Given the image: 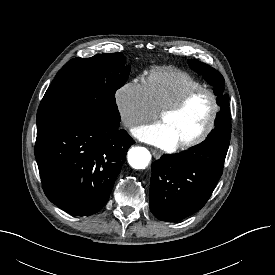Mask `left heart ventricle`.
Returning a JSON list of instances; mask_svg holds the SVG:
<instances>
[{
    "mask_svg": "<svg viewBox=\"0 0 275 275\" xmlns=\"http://www.w3.org/2000/svg\"><path fill=\"white\" fill-rule=\"evenodd\" d=\"M212 111L208 94L194 96L180 111L160 119L169 129L177 144L197 136L206 126Z\"/></svg>",
    "mask_w": 275,
    "mask_h": 275,
    "instance_id": "obj_1",
    "label": "left heart ventricle"
}]
</instances>
